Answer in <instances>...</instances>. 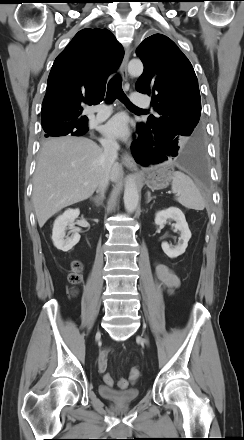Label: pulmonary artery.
Returning <instances> with one entry per match:
<instances>
[{"label":"pulmonary artery","mask_w":244,"mask_h":440,"mask_svg":"<svg viewBox=\"0 0 244 440\" xmlns=\"http://www.w3.org/2000/svg\"><path fill=\"white\" fill-rule=\"evenodd\" d=\"M131 100L133 104L140 107H149L150 101L144 94L135 92L131 95ZM97 119L103 120L112 112V108L108 104H101L96 107Z\"/></svg>","instance_id":"pulmonary-artery-1"}]
</instances>
